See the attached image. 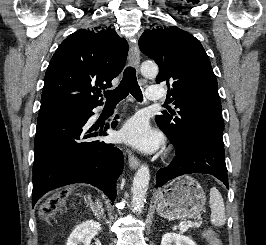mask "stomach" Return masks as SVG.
Listing matches in <instances>:
<instances>
[{"mask_svg": "<svg viewBox=\"0 0 266 245\" xmlns=\"http://www.w3.org/2000/svg\"><path fill=\"white\" fill-rule=\"evenodd\" d=\"M157 213L165 219H191L200 215L206 195L198 181L192 177H178L168 183L157 195Z\"/></svg>", "mask_w": 266, "mask_h": 245, "instance_id": "1", "label": "stomach"}]
</instances>
